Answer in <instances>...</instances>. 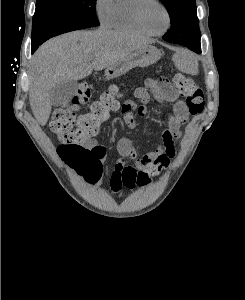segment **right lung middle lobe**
I'll use <instances>...</instances> for the list:
<instances>
[{
	"mask_svg": "<svg viewBox=\"0 0 245 300\" xmlns=\"http://www.w3.org/2000/svg\"><path fill=\"white\" fill-rule=\"evenodd\" d=\"M96 0H37L32 46L62 33L100 25Z\"/></svg>",
	"mask_w": 245,
	"mask_h": 300,
	"instance_id": "dd1d6c3e",
	"label": "right lung middle lobe"
}]
</instances>
